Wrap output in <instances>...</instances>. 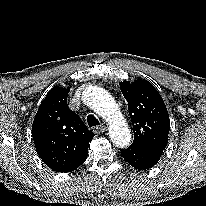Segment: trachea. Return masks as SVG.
I'll list each match as a JSON object with an SVG mask.
<instances>
[{"instance_id": "trachea-1", "label": "trachea", "mask_w": 206, "mask_h": 206, "mask_svg": "<svg viewBox=\"0 0 206 206\" xmlns=\"http://www.w3.org/2000/svg\"><path fill=\"white\" fill-rule=\"evenodd\" d=\"M87 123H88L89 127H94V126L99 125L98 119L92 114L88 115Z\"/></svg>"}]
</instances>
